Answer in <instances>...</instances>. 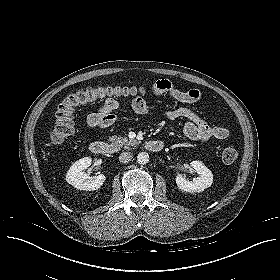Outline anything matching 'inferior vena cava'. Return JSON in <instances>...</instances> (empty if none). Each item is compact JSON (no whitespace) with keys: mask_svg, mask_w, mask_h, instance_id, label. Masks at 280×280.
Listing matches in <instances>:
<instances>
[{"mask_svg":"<svg viewBox=\"0 0 280 280\" xmlns=\"http://www.w3.org/2000/svg\"><path fill=\"white\" fill-rule=\"evenodd\" d=\"M133 158V154L131 152H122L119 156V161L121 163H129Z\"/></svg>","mask_w":280,"mask_h":280,"instance_id":"602c4592","label":"inferior vena cava"}]
</instances>
